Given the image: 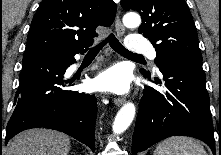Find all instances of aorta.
I'll use <instances>...</instances> for the list:
<instances>
[{"instance_id":"762f6f07","label":"aorta","mask_w":221,"mask_h":155,"mask_svg":"<svg viewBox=\"0 0 221 155\" xmlns=\"http://www.w3.org/2000/svg\"><path fill=\"white\" fill-rule=\"evenodd\" d=\"M123 23L129 28L138 27L141 23V18L137 13H127L123 18ZM135 111V105L131 102L121 107L113 122V132L115 134L123 133L130 126L134 119Z\"/></svg>"}]
</instances>
